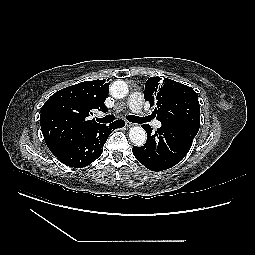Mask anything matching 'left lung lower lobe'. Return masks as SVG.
<instances>
[{"instance_id":"1","label":"left lung lower lobe","mask_w":255,"mask_h":255,"mask_svg":"<svg viewBox=\"0 0 255 255\" xmlns=\"http://www.w3.org/2000/svg\"><path fill=\"white\" fill-rule=\"evenodd\" d=\"M147 132V142L133 147L136 159L152 171H163L178 164L188 153L198 133V126L162 123L155 134L148 124L142 125Z\"/></svg>"}]
</instances>
